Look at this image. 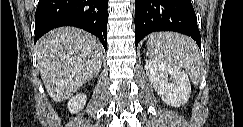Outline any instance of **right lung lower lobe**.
Wrapping results in <instances>:
<instances>
[{
    "mask_svg": "<svg viewBox=\"0 0 243 127\" xmlns=\"http://www.w3.org/2000/svg\"><path fill=\"white\" fill-rule=\"evenodd\" d=\"M107 8L108 0H39L34 41L51 29L75 26L97 36L106 49Z\"/></svg>",
    "mask_w": 243,
    "mask_h": 127,
    "instance_id": "obj_1",
    "label": "right lung lower lobe"
}]
</instances>
